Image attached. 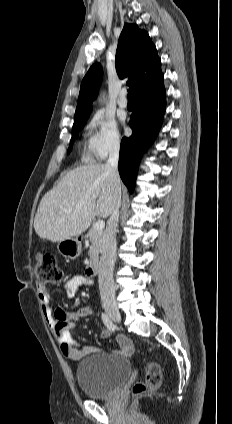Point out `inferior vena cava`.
I'll use <instances>...</instances> for the list:
<instances>
[{
	"label": "inferior vena cava",
	"mask_w": 232,
	"mask_h": 424,
	"mask_svg": "<svg viewBox=\"0 0 232 424\" xmlns=\"http://www.w3.org/2000/svg\"><path fill=\"white\" fill-rule=\"evenodd\" d=\"M119 149V140H112L109 146V159L105 164L114 185V204L112 214L103 233L101 258L99 262L98 283L103 304L115 303V287L113 281V268L116 259L115 232L118 225L119 208L121 205L120 178L118 173Z\"/></svg>",
	"instance_id": "obj_1"
}]
</instances>
